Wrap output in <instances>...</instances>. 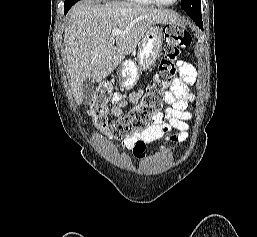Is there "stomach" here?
I'll list each match as a JSON object with an SVG mask.
<instances>
[{
	"label": "stomach",
	"mask_w": 257,
	"mask_h": 237,
	"mask_svg": "<svg viewBox=\"0 0 257 237\" xmlns=\"http://www.w3.org/2000/svg\"><path fill=\"white\" fill-rule=\"evenodd\" d=\"M163 37V27L152 25L147 29L139 42L136 62L126 60L118 71L120 86L123 89L133 88L140 72L149 69L155 63L161 51Z\"/></svg>",
	"instance_id": "1"
}]
</instances>
